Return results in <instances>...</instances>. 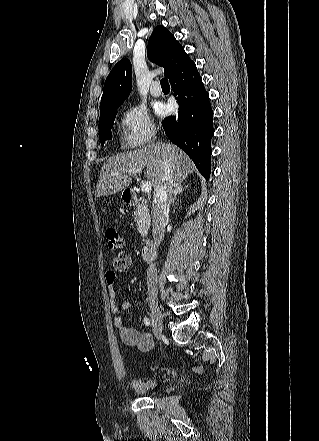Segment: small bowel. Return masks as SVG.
<instances>
[{
  "instance_id": "small-bowel-1",
  "label": "small bowel",
  "mask_w": 319,
  "mask_h": 441,
  "mask_svg": "<svg viewBox=\"0 0 319 441\" xmlns=\"http://www.w3.org/2000/svg\"><path fill=\"white\" fill-rule=\"evenodd\" d=\"M131 266V257L126 252H121L113 259V270L105 272V281L110 299V309L114 314V325L120 333L122 341L140 352L149 351L154 345V338L149 332H140L124 324L118 313L127 311L131 304L128 301H118L116 297V281L118 273H127Z\"/></svg>"
}]
</instances>
